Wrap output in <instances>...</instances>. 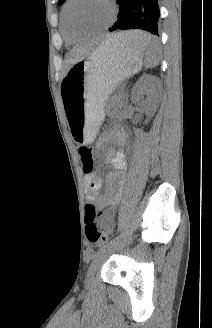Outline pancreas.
<instances>
[{"label":"pancreas","instance_id":"cf45deb5","mask_svg":"<svg viewBox=\"0 0 212 328\" xmlns=\"http://www.w3.org/2000/svg\"><path fill=\"white\" fill-rule=\"evenodd\" d=\"M123 97L122 95L113 96L108 103V108L112 109L115 113H118V111L123 106Z\"/></svg>","mask_w":212,"mask_h":328}]
</instances>
